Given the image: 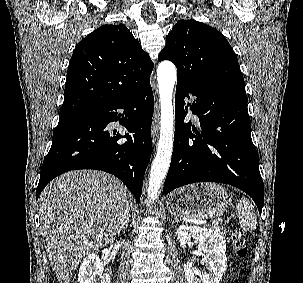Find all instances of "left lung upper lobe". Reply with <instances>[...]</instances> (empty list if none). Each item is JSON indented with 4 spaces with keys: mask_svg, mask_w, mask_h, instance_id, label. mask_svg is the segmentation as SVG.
I'll list each match as a JSON object with an SVG mask.
<instances>
[{
    "mask_svg": "<svg viewBox=\"0 0 303 283\" xmlns=\"http://www.w3.org/2000/svg\"><path fill=\"white\" fill-rule=\"evenodd\" d=\"M158 59L175 64L177 79L246 96L243 75L232 47L221 32L204 23L192 19L178 21L167 35Z\"/></svg>",
    "mask_w": 303,
    "mask_h": 283,
    "instance_id": "left-lung-upper-lobe-1",
    "label": "left lung upper lobe"
}]
</instances>
